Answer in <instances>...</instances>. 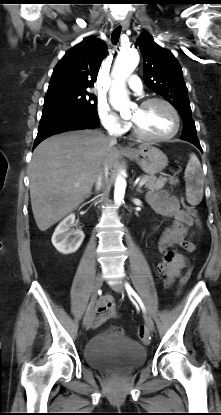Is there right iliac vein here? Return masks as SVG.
<instances>
[{
  "label": "right iliac vein",
  "mask_w": 221,
  "mask_h": 415,
  "mask_svg": "<svg viewBox=\"0 0 221 415\" xmlns=\"http://www.w3.org/2000/svg\"><path fill=\"white\" fill-rule=\"evenodd\" d=\"M103 284V277L101 275H98L95 279L94 282V286H93V290H92V294H91V302H90V306L84 316L83 319V326L87 327L91 324V322L93 321L94 318V304L96 302V298L98 295V292L100 290V288L102 287Z\"/></svg>",
  "instance_id": "obj_1"
}]
</instances>
